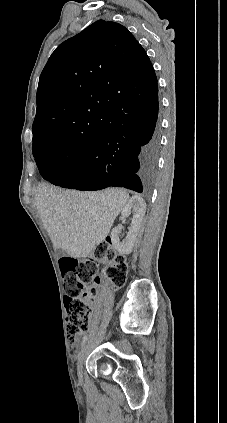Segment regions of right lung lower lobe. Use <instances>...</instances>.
<instances>
[{
    "label": "right lung lower lobe",
    "instance_id": "98d812e1",
    "mask_svg": "<svg viewBox=\"0 0 227 423\" xmlns=\"http://www.w3.org/2000/svg\"><path fill=\"white\" fill-rule=\"evenodd\" d=\"M158 88L147 99H133L111 106V118L122 127L105 129L90 153L66 171L41 165V176L54 185L81 191L111 186L147 192L155 179L160 150Z\"/></svg>",
    "mask_w": 227,
    "mask_h": 423
}]
</instances>
